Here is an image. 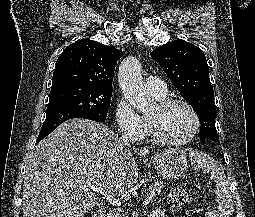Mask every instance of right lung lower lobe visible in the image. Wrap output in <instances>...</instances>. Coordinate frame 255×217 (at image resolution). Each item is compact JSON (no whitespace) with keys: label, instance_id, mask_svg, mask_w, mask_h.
Masks as SVG:
<instances>
[{"label":"right lung lower lobe","instance_id":"1","mask_svg":"<svg viewBox=\"0 0 255 217\" xmlns=\"http://www.w3.org/2000/svg\"><path fill=\"white\" fill-rule=\"evenodd\" d=\"M73 118H85V119H90L97 122L104 121L88 113L69 110V109H55V110L48 111L45 122L36 140V144L40 142L43 138H45L47 135H49L61 123Z\"/></svg>","mask_w":255,"mask_h":217}]
</instances>
